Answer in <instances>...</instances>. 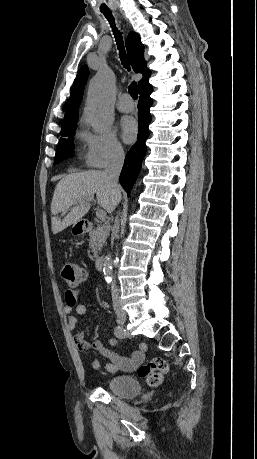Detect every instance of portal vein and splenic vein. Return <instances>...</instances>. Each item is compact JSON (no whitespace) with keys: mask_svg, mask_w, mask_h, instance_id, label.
Listing matches in <instances>:
<instances>
[{"mask_svg":"<svg viewBox=\"0 0 257 459\" xmlns=\"http://www.w3.org/2000/svg\"><path fill=\"white\" fill-rule=\"evenodd\" d=\"M89 201H92V198L89 199ZM96 216H97V218H99L100 220H103V219L106 217V213H105L103 210H97V211H96Z\"/></svg>","mask_w":257,"mask_h":459,"instance_id":"18ae733b","label":"portal vein and splenic vein"}]
</instances>
